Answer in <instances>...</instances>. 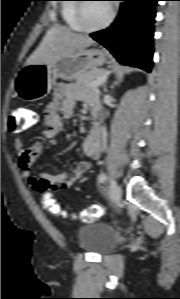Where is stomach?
<instances>
[{
  "label": "stomach",
  "mask_w": 180,
  "mask_h": 299,
  "mask_svg": "<svg viewBox=\"0 0 180 299\" xmlns=\"http://www.w3.org/2000/svg\"><path fill=\"white\" fill-rule=\"evenodd\" d=\"M106 54L99 49H82L53 63L24 65L15 78L16 94L34 102L46 97L57 78L70 80L104 65Z\"/></svg>",
  "instance_id": "1"
}]
</instances>
